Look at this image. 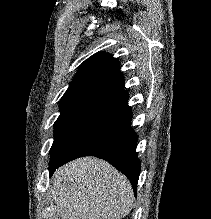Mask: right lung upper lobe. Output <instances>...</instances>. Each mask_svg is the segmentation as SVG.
I'll list each match as a JSON object with an SVG mask.
<instances>
[{"instance_id": "obj_1", "label": "right lung upper lobe", "mask_w": 211, "mask_h": 219, "mask_svg": "<svg viewBox=\"0 0 211 219\" xmlns=\"http://www.w3.org/2000/svg\"><path fill=\"white\" fill-rule=\"evenodd\" d=\"M119 61L106 53H96L79 67L61 103L92 99L122 107L128 102Z\"/></svg>"}]
</instances>
